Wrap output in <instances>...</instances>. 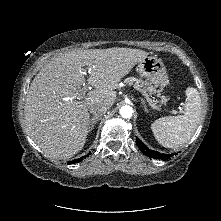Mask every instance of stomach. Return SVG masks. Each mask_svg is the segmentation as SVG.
Here are the masks:
<instances>
[{
	"mask_svg": "<svg viewBox=\"0 0 221 221\" xmlns=\"http://www.w3.org/2000/svg\"><path fill=\"white\" fill-rule=\"evenodd\" d=\"M140 75L155 86L165 87L169 84L168 74L162 60L156 56H146L138 62Z\"/></svg>",
	"mask_w": 221,
	"mask_h": 221,
	"instance_id": "stomach-1",
	"label": "stomach"
}]
</instances>
